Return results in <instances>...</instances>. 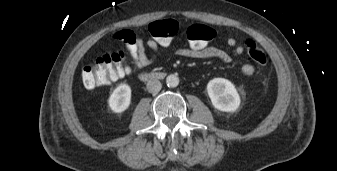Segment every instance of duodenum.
<instances>
[{
	"mask_svg": "<svg viewBox=\"0 0 337 171\" xmlns=\"http://www.w3.org/2000/svg\"><path fill=\"white\" fill-rule=\"evenodd\" d=\"M141 77L145 81H155V80L162 79L163 75L161 73L145 72V73H142Z\"/></svg>",
	"mask_w": 337,
	"mask_h": 171,
	"instance_id": "410a0bca",
	"label": "duodenum"
}]
</instances>
